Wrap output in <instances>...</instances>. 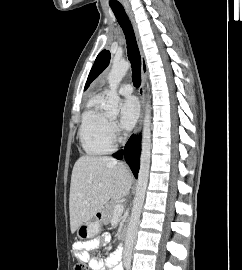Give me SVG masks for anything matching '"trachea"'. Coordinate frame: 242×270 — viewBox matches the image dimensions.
<instances>
[{
    "label": "trachea",
    "instance_id": "obj_1",
    "mask_svg": "<svg viewBox=\"0 0 242 270\" xmlns=\"http://www.w3.org/2000/svg\"><path fill=\"white\" fill-rule=\"evenodd\" d=\"M116 19L121 26L127 43V53L132 66V81L135 87L141 85V57L136 42L135 34L131 22L121 5L111 6Z\"/></svg>",
    "mask_w": 242,
    "mask_h": 270
}]
</instances>
